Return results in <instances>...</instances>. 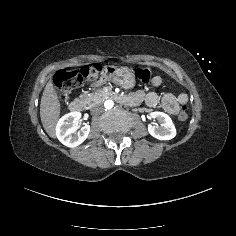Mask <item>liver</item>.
Listing matches in <instances>:
<instances>
[{"label":"liver","mask_w":236,"mask_h":236,"mask_svg":"<svg viewBox=\"0 0 236 236\" xmlns=\"http://www.w3.org/2000/svg\"><path fill=\"white\" fill-rule=\"evenodd\" d=\"M61 109L60 98L50 79L41 97L40 119L44 130L52 139L57 138L56 127L60 119Z\"/></svg>","instance_id":"liver-1"}]
</instances>
